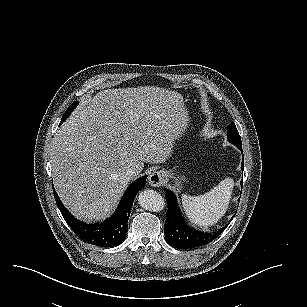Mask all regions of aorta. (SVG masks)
Wrapping results in <instances>:
<instances>
[{"mask_svg":"<svg viewBox=\"0 0 307 307\" xmlns=\"http://www.w3.org/2000/svg\"><path fill=\"white\" fill-rule=\"evenodd\" d=\"M138 204L150 211H159L164 207L162 196L152 189L142 190L138 195Z\"/></svg>","mask_w":307,"mask_h":307,"instance_id":"1","label":"aorta"}]
</instances>
